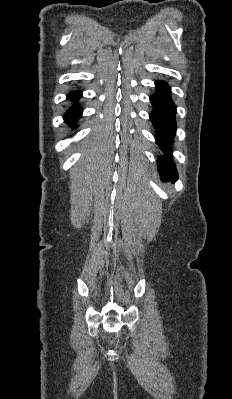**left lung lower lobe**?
Instances as JSON below:
<instances>
[{
  "instance_id": "obj_1",
  "label": "left lung lower lobe",
  "mask_w": 232,
  "mask_h": 399,
  "mask_svg": "<svg viewBox=\"0 0 232 399\" xmlns=\"http://www.w3.org/2000/svg\"><path fill=\"white\" fill-rule=\"evenodd\" d=\"M156 93L150 96L153 110L151 122L156 131V142L166 155L158 158V171L162 180L175 181L178 173L170 155L171 144L176 133V106L171 99L170 87L163 81H156Z\"/></svg>"
}]
</instances>
